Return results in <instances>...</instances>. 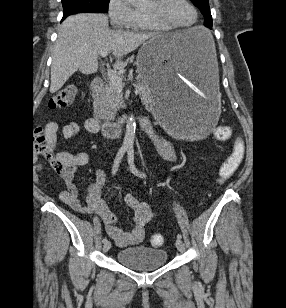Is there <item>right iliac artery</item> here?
<instances>
[{"mask_svg": "<svg viewBox=\"0 0 286 308\" xmlns=\"http://www.w3.org/2000/svg\"><path fill=\"white\" fill-rule=\"evenodd\" d=\"M127 149H128V147L125 146V145L122 146V147L119 149V151H118V153H117V155H116L115 161H114L113 168H112V175H115V174H116V172H117V170H118V167H119V165H120V163H121V160H122V158H123L125 152L127 151ZM107 241H108V240H107L106 237H104L103 240H102L103 243H106Z\"/></svg>", "mask_w": 286, "mask_h": 308, "instance_id": "1", "label": "right iliac artery"}]
</instances>
